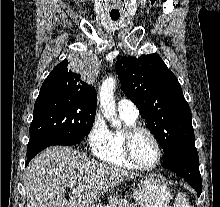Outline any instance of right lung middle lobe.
<instances>
[{
	"label": "right lung middle lobe",
	"instance_id": "obj_1",
	"mask_svg": "<svg viewBox=\"0 0 220 207\" xmlns=\"http://www.w3.org/2000/svg\"><path fill=\"white\" fill-rule=\"evenodd\" d=\"M96 101L67 92H40L35 102L27 147L73 145L91 131Z\"/></svg>",
	"mask_w": 220,
	"mask_h": 207
}]
</instances>
